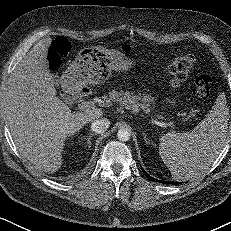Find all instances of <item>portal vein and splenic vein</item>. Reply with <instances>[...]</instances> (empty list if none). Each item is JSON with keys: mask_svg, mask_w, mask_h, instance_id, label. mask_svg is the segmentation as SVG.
<instances>
[{"mask_svg": "<svg viewBox=\"0 0 231 231\" xmlns=\"http://www.w3.org/2000/svg\"><path fill=\"white\" fill-rule=\"evenodd\" d=\"M78 108L80 110L88 111L95 108V103L93 101L82 102L78 105ZM161 125L165 127H173L174 122H162Z\"/></svg>", "mask_w": 231, "mask_h": 231, "instance_id": "1", "label": "portal vein and splenic vein"}]
</instances>
